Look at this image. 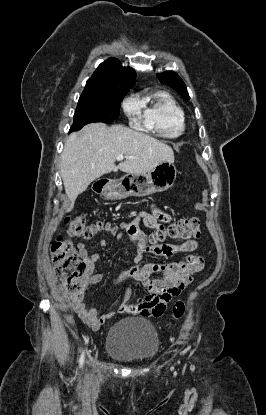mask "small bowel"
I'll list each match as a JSON object with an SVG mask.
<instances>
[{
    "label": "small bowel",
    "instance_id": "c3829d8e",
    "mask_svg": "<svg viewBox=\"0 0 266 415\" xmlns=\"http://www.w3.org/2000/svg\"><path fill=\"white\" fill-rule=\"evenodd\" d=\"M169 221V215L152 204L150 211H141L132 221L120 225L135 246L134 265L114 279V283L124 284L122 298L115 309L103 314H99L97 308L87 305L85 301L87 291L103 278L101 273L95 271L100 257L97 253L89 254L85 244L78 243V251L86 262L87 273L81 280L79 293L72 298V307L90 328L98 330L116 313L148 315L152 312L158 315L165 310L166 304L171 299L178 296L193 281L194 275L203 269V258L192 254L199 246L196 240H186L179 244H147L140 224L158 230ZM99 245L105 248L108 246V241L101 239ZM178 253L188 255L178 262L144 263L143 261L146 254L169 258ZM131 281L140 282L148 290V294L143 299L133 304L128 303L131 296L129 285Z\"/></svg>",
    "mask_w": 266,
    "mask_h": 415
}]
</instances>
